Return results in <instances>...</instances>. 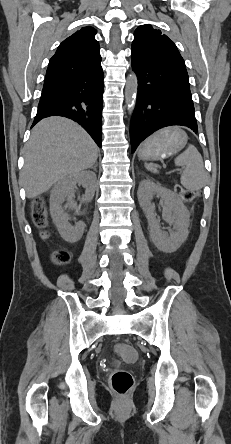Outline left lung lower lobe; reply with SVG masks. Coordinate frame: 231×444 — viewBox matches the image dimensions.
<instances>
[{
  "mask_svg": "<svg viewBox=\"0 0 231 444\" xmlns=\"http://www.w3.org/2000/svg\"><path fill=\"white\" fill-rule=\"evenodd\" d=\"M138 79L136 107L130 125L132 152L156 130L182 125L197 132L188 77L173 67L131 56Z\"/></svg>",
  "mask_w": 231,
  "mask_h": 444,
  "instance_id": "left-lung-lower-lobe-1",
  "label": "left lung lower lobe"
}]
</instances>
